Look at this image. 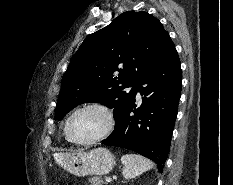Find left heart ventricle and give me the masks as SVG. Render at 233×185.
<instances>
[{
    "mask_svg": "<svg viewBox=\"0 0 233 185\" xmlns=\"http://www.w3.org/2000/svg\"><path fill=\"white\" fill-rule=\"evenodd\" d=\"M107 125V118L97 109L77 113L71 120L70 131L77 140H87L99 135Z\"/></svg>",
    "mask_w": 233,
    "mask_h": 185,
    "instance_id": "obj_1",
    "label": "left heart ventricle"
}]
</instances>
